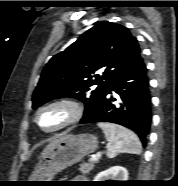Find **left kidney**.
<instances>
[{"instance_id": "obj_1", "label": "left kidney", "mask_w": 178, "mask_h": 186, "mask_svg": "<svg viewBox=\"0 0 178 186\" xmlns=\"http://www.w3.org/2000/svg\"><path fill=\"white\" fill-rule=\"evenodd\" d=\"M128 171L121 166H114L98 173L94 181H127Z\"/></svg>"}]
</instances>
